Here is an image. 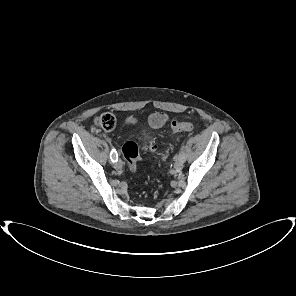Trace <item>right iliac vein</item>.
<instances>
[{"instance_id":"1","label":"right iliac vein","mask_w":296,"mask_h":296,"mask_svg":"<svg viewBox=\"0 0 296 296\" xmlns=\"http://www.w3.org/2000/svg\"><path fill=\"white\" fill-rule=\"evenodd\" d=\"M122 166H123V163H122L121 160H118V161H116V162L114 163V168H115V169H121Z\"/></svg>"}]
</instances>
